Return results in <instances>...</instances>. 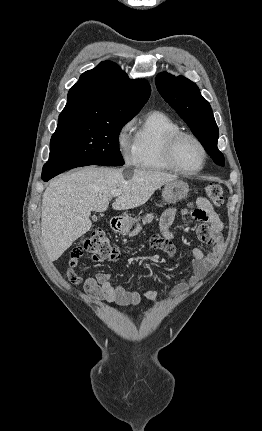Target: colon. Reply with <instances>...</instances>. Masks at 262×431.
Segmentation results:
<instances>
[{
	"instance_id": "obj_1",
	"label": "colon",
	"mask_w": 262,
	"mask_h": 431,
	"mask_svg": "<svg viewBox=\"0 0 262 431\" xmlns=\"http://www.w3.org/2000/svg\"><path fill=\"white\" fill-rule=\"evenodd\" d=\"M207 199L215 206H221L224 201L223 190L219 184L211 183L205 188ZM153 248L166 244L165 238L160 235H154L150 239ZM90 254L95 261L114 260L119 255V250L112 245L100 230H93L85 237L77 248V253L70 257L66 277L70 280L79 276L75 272V267L83 254Z\"/></svg>"
}]
</instances>
